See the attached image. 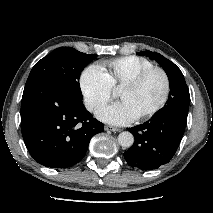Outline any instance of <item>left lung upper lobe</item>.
Returning a JSON list of instances; mask_svg holds the SVG:
<instances>
[{"label":"left lung upper lobe","instance_id":"1","mask_svg":"<svg viewBox=\"0 0 213 213\" xmlns=\"http://www.w3.org/2000/svg\"><path fill=\"white\" fill-rule=\"evenodd\" d=\"M137 54L146 55L151 59L156 60L157 63L164 69L169 79L170 93L167 103L156 114L169 110H177L188 113L190 95L181 70L173 62L166 59L159 53L142 51L138 52Z\"/></svg>","mask_w":213,"mask_h":213}]
</instances>
